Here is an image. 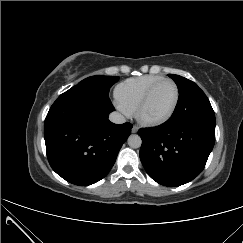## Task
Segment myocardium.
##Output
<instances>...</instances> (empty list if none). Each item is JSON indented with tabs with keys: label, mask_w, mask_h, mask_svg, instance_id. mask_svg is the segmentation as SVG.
Segmentation results:
<instances>
[{
	"label": "myocardium",
	"mask_w": 243,
	"mask_h": 243,
	"mask_svg": "<svg viewBox=\"0 0 243 243\" xmlns=\"http://www.w3.org/2000/svg\"><path fill=\"white\" fill-rule=\"evenodd\" d=\"M164 83H171L174 86L175 89V100L173 103L172 108L170 109V111L163 117L158 118V119H147L143 116V111L146 107V105L148 104L152 94L154 93V91L162 84ZM179 100H180V91L178 88V85L176 84L175 81L171 80V79H167L164 78L158 82H156L155 84H153L148 91L145 93V95L143 96V98L141 99V101L139 102L136 110H135V117L137 119V121L146 127H157V126H161L165 123H167L175 114L178 104H179Z\"/></svg>",
	"instance_id": "1"
}]
</instances>
